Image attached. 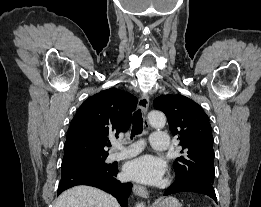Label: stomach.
I'll return each instance as SVG.
<instances>
[{"label": "stomach", "instance_id": "1", "mask_svg": "<svg viewBox=\"0 0 261 207\" xmlns=\"http://www.w3.org/2000/svg\"><path fill=\"white\" fill-rule=\"evenodd\" d=\"M152 207H182V205L176 198L169 196L156 201Z\"/></svg>", "mask_w": 261, "mask_h": 207}]
</instances>
